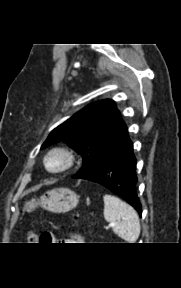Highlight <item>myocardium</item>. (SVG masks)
<instances>
[{
	"mask_svg": "<svg viewBox=\"0 0 181 288\" xmlns=\"http://www.w3.org/2000/svg\"><path fill=\"white\" fill-rule=\"evenodd\" d=\"M58 156L61 158L62 163L59 167L50 168L48 165L49 160ZM76 163V154L73 150L63 146H56L49 149L43 156L42 164L44 169L50 174H62L71 170Z\"/></svg>",
	"mask_w": 181,
	"mask_h": 288,
	"instance_id": "f54148a6",
	"label": "myocardium"
}]
</instances>
